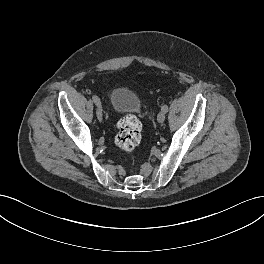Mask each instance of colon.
I'll use <instances>...</instances> for the list:
<instances>
[{"label":"colon","mask_w":264,"mask_h":264,"mask_svg":"<svg viewBox=\"0 0 264 264\" xmlns=\"http://www.w3.org/2000/svg\"><path fill=\"white\" fill-rule=\"evenodd\" d=\"M142 126L134 115H126L118 122V133L115 137L116 145L127 152L135 149L141 141Z\"/></svg>","instance_id":"5ec220e1"}]
</instances>
